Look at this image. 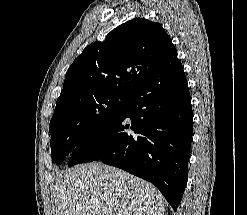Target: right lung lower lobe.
Listing matches in <instances>:
<instances>
[{
  "instance_id": "1",
  "label": "right lung lower lobe",
  "mask_w": 247,
  "mask_h": 215,
  "mask_svg": "<svg viewBox=\"0 0 247 215\" xmlns=\"http://www.w3.org/2000/svg\"><path fill=\"white\" fill-rule=\"evenodd\" d=\"M193 114L176 50L113 121L83 139L68 166L101 160L153 183L176 211L188 180Z\"/></svg>"
}]
</instances>
